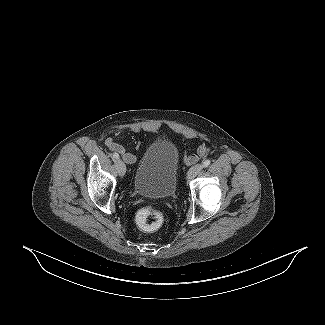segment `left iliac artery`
Listing matches in <instances>:
<instances>
[{
	"label": "left iliac artery",
	"mask_w": 325,
	"mask_h": 325,
	"mask_svg": "<svg viewBox=\"0 0 325 325\" xmlns=\"http://www.w3.org/2000/svg\"><path fill=\"white\" fill-rule=\"evenodd\" d=\"M210 160L209 159H207V160H205L204 162H203V167H208L209 165H210Z\"/></svg>",
	"instance_id": "44dca946"
}]
</instances>
